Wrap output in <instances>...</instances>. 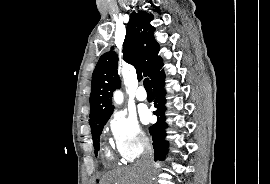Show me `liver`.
Segmentation results:
<instances>
[{"label": "liver", "mask_w": 270, "mask_h": 184, "mask_svg": "<svg viewBox=\"0 0 270 184\" xmlns=\"http://www.w3.org/2000/svg\"><path fill=\"white\" fill-rule=\"evenodd\" d=\"M147 172L139 167L119 168L106 173L100 184H143Z\"/></svg>", "instance_id": "6515ba94"}]
</instances>
